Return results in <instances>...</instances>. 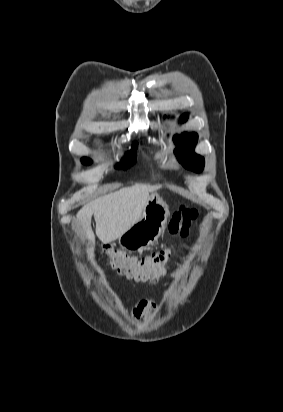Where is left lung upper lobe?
I'll return each instance as SVG.
<instances>
[{
    "label": "left lung upper lobe",
    "instance_id": "obj_1",
    "mask_svg": "<svg viewBox=\"0 0 283 412\" xmlns=\"http://www.w3.org/2000/svg\"><path fill=\"white\" fill-rule=\"evenodd\" d=\"M188 118L187 114L180 117V121L184 122ZM178 145L175 153L180 163L187 169L195 172H201L204 168V158L194 153V147L197 143L198 136L196 133H183L176 135L173 138Z\"/></svg>",
    "mask_w": 283,
    "mask_h": 412
}]
</instances>
